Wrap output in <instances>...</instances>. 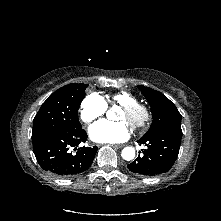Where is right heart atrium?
Returning <instances> with one entry per match:
<instances>
[{"label":"right heart atrium","mask_w":221,"mask_h":221,"mask_svg":"<svg viewBox=\"0 0 221 221\" xmlns=\"http://www.w3.org/2000/svg\"><path fill=\"white\" fill-rule=\"evenodd\" d=\"M106 111V101L99 94L90 93L80 104L79 116L84 123L90 124L103 116Z\"/></svg>","instance_id":"d8ad5b80"}]
</instances>
